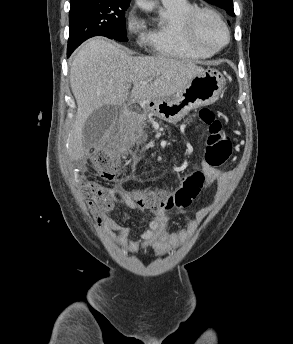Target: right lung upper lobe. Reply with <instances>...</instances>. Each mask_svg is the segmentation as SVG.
<instances>
[{
    "instance_id": "1",
    "label": "right lung upper lobe",
    "mask_w": 293,
    "mask_h": 344,
    "mask_svg": "<svg viewBox=\"0 0 293 344\" xmlns=\"http://www.w3.org/2000/svg\"><path fill=\"white\" fill-rule=\"evenodd\" d=\"M83 0H70V4H75L77 2H81ZM105 1H118V2H130V0H105Z\"/></svg>"
}]
</instances>
